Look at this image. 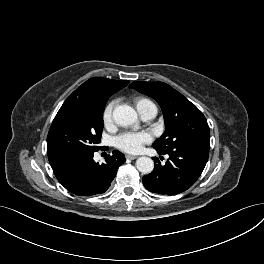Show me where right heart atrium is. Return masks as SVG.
I'll return each instance as SVG.
<instances>
[{"mask_svg": "<svg viewBox=\"0 0 264 264\" xmlns=\"http://www.w3.org/2000/svg\"><path fill=\"white\" fill-rule=\"evenodd\" d=\"M115 102L110 101L106 104L102 112V121L105 127H110L113 123V110Z\"/></svg>", "mask_w": 264, "mask_h": 264, "instance_id": "d8ad5b80", "label": "right heart atrium"}]
</instances>
